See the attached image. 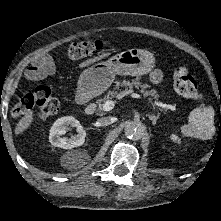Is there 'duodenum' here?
<instances>
[{"instance_id": "410a0bca", "label": "duodenum", "mask_w": 221, "mask_h": 221, "mask_svg": "<svg viewBox=\"0 0 221 221\" xmlns=\"http://www.w3.org/2000/svg\"><path fill=\"white\" fill-rule=\"evenodd\" d=\"M78 101L81 103H84L86 102V97L79 95ZM95 109H96V105L94 103H88L84 108V112L87 115H92L95 112Z\"/></svg>"}]
</instances>
